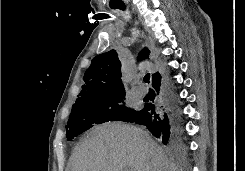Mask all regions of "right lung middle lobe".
<instances>
[{"mask_svg": "<svg viewBox=\"0 0 245 171\" xmlns=\"http://www.w3.org/2000/svg\"><path fill=\"white\" fill-rule=\"evenodd\" d=\"M124 100L125 93L77 100L68 121L67 139L72 140L96 124L108 121L131 122L139 111L127 108Z\"/></svg>", "mask_w": 245, "mask_h": 171, "instance_id": "dd1d6c3e", "label": "right lung middle lobe"}]
</instances>
